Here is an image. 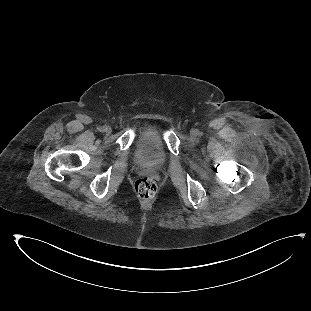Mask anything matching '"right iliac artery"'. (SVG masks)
<instances>
[{"label": "right iliac artery", "mask_w": 311, "mask_h": 311, "mask_svg": "<svg viewBox=\"0 0 311 311\" xmlns=\"http://www.w3.org/2000/svg\"><path fill=\"white\" fill-rule=\"evenodd\" d=\"M106 129H107V128H106L105 126H102V127H100V129H99V130H100L101 132H105V131H106Z\"/></svg>", "instance_id": "obj_1"}]
</instances>
